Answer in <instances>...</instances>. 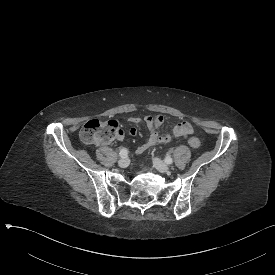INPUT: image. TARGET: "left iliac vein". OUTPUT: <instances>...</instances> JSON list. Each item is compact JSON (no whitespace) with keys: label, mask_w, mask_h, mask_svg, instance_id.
<instances>
[{"label":"left iliac vein","mask_w":275,"mask_h":275,"mask_svg":"<svg viewBox=\"0 0 275 275\" xmlns=\"http://www.w3.org/2000/svg\"><path fill=\"white\" fill-rule=\"evenodd\" d=\"M153 164L156 167L157 170L163 173L169 172V166L162 161L160 158H153Z\"/></svg>","instance_id":"obj_1"}]
</instances>
